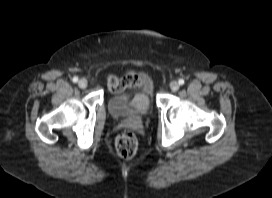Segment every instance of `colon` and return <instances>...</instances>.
<instances>
[{"label":"colon","mask_w":272,"mask_h":198,"mask_svg":"<svg viewBox=\"0 0 272 198\" xmlns=\"http://www.w3.org/2000/svg\"><path fill=\"white\" fill-rule=\"evenodd\" d=\"M115 149L122 159H131L138 150V140L131 131L121 132L115 139Z\"/></svg>","instance_id":"1"}]
</instances>
